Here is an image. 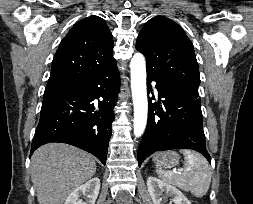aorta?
I'll use <instances>...</instances> for the list:
<instances>
[{"label":"aorta","mask_w":253,"mask_h":204,"mask_svg":"<svg viewBox=\"0 0 253 204\" xmlns=\"http://www.w3.org/2000/svg\"><path fill=\"white\" fill-rule=\"evenodd\" d=\"M131 89L134 104V134L140 137L146 127L148 100L146 89V63L140 53H135L131 59Z\"/></svg>","instance_id":"obj_1"}]
</instances>
